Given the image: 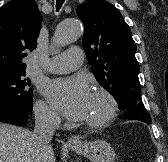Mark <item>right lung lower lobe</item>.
I'll return each mask as SVG.
<instances>
[{"mask_svg": "<svg viewBox=\"0 0 168 162\" xmlns=\"http://www.w3.org/2000/svg\"><path fill=\"white\" fill-rule=\"evenodd\" d=\"M30 111L9 106H0V122L23 126L28 121Z\"/></svg>", "mask_w": 168, "mask_h": 162, "instance_id": "obj_1", "label": "right lung lower lobe"}]
</instances>
